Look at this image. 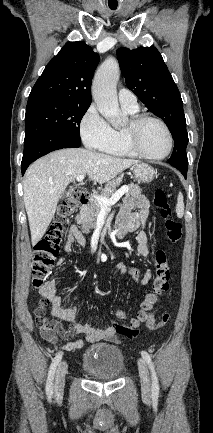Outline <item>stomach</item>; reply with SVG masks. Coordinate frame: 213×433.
Returning a JSON list of instances; mask_svg holds the SVG:
<instances>
[{"instance_id":"stomach-1","label":"stomach","mask_w":213,"mask_h":433,"mask_svg":"<svg viewBox=\"0 0 213 433\" xmlns=\"http://www.w3.org/2000/svg\"><path fill=\"white\" fill-rule=\"evenodd\" d=\"M131 171L133 172L136 179L143 183L151 182L155 177V170L148 164L138 163L131 167Z\"/></svg>"}]
</instances>
